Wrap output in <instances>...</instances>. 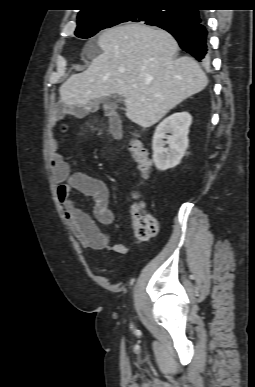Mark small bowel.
<instances>
[{
	"instance_id": "c3829d8e",
	"label": "small bowel",
	"mask_w": 255,
	"mask_h": 387,
	"mask_svg": "<svg viewBox=\"0 0 255 387\" xmlns=\"http://www.w3.org/2000/svg\"><path fill=\"white\" fill-rule=\"evenodd\" d=\"M62 117V111L55 112L54 123L56 124ZM65 131L66 126L64 125L63 132ZM111 131L115 137H120V125L117 121L111 122ZM60 145L61 138L56 135L53 128L50 166L58 182L57 199L67 226L85 248L105 249L118 254H126L128 248L122 243H113L110 236L103 232L96 222L111 225L115 220L114 212L109 206L110 194L107 185L88 174L72 172L59 151ZM74 190L93 199L94 218L75 206L71 199Z\"/></svg>"
}]
</instances>
